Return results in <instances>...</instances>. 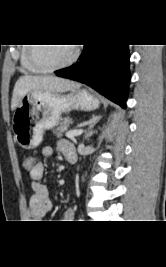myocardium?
Masks as SVG:
<instances>
[{
    "instance_id": "obj_1",
    "label": "myocardium",
    "mask_w": 166,
    "mask_h": 267,
    "mask_svg": "<svg viewBox=\"0 0 166 267\" xmlns=\"http://www.w3.org/2000/svg\"><path fill=\"white\" fill-rule=\"evenodd\" d=\"M37 47H38L37 44H33V46H30V51H29L30 60L35 66L40 68L42 71L46 72H54L71 66L77 60L79 55V49L77 47H74L71 57L66 62L51 66L43 63L38 59L36 54Z\"/></svg>"
}]
</instances>
